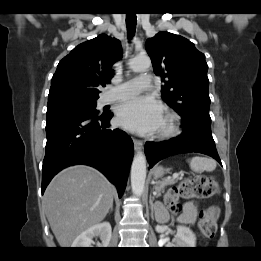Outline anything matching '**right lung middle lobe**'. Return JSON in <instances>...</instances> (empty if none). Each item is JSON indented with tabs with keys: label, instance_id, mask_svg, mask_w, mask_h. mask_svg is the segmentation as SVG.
Masks as SVG:
<instances>
[{
	"label": "right lung middle lobe",
	"instance_id": "right-lung-middle-lobe-1",
	"mask_svg": "<svg viewBox=\"0 0 261 261\" xmlns=\"http://www.w3.org/2000/svg\"><path fill=\"white\" fill-rule=\"evenodd\" d=\"M96 100L71 94L54 96L48 99L47 117L66 112L97 115Z\"/></svg>",
	"mask_w": 261,
	"mask_h": 261
}]
</instances>
